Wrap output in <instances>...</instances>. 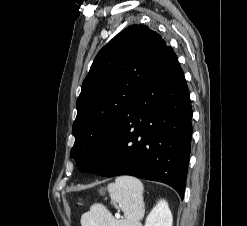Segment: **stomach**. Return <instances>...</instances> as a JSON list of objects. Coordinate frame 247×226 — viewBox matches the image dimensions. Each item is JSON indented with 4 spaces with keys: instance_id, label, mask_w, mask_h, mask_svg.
<instances>
[{
    "instance_id": "0dacf381",
    "label": "stomach",
    "mask_w": 247,
    "mask_h": 226,
    "mask_svg": "<svg viewBox=\"0 0 247 226\" xmlns=\"http://www.w3.org/2000/svg\"><path fill=\"white\" fill-rule=\"evenodd\" d=\"M81 202H82L81 199H79V203H80V204H81Z\"/></svg>"
}]
</instances>
